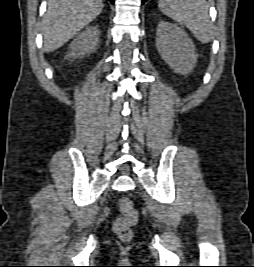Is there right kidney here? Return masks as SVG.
<instances>
[{"label":"right kidney","mask_w":254,"mask_h":267,"mask_svg":"<svg viewBox=\"0 0 254 267\" xmlns=\"http://www.w3.org/2000/svg\"><path fill=\"white\" fill-rule=\"evenodd\" d=\"M99 35L100 31L97 26L87 28L71 42L69 46L70 52L66 58H75L94 52L98 44Z\"/></svg>","instance_id":"ca27d5eb"}]
</instances>
